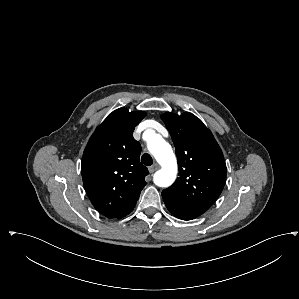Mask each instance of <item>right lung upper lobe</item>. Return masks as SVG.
Returning <instances> with one entry per match:
<instances>
[{
    "label": "right lung upper lobe",
    "mask_w": 299,
    "mask_h": 299,
    "mask_svg": "<svg viewBox=\"0 0 299 299\" xmlns=\"http://www.w3.org/2000/svg\"><path fill=\"white\" fill-rule=\"evenodd\" d=\"M145 112L113 111L91 136L82 157V179L94 207L119 218L135 206L146 185L148 169L140 161L141 146L133 138Z\"/></svg>",
    "instance_id": "obj_1"
}]
</instances>
